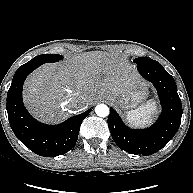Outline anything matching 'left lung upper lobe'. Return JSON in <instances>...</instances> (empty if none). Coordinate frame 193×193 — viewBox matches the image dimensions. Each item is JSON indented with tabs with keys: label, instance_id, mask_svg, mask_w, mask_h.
I'll use <instances>...</instances> for the list:
<instances>
[{
	"label": "left lung upper lobe",
	"instance_id": "left-lung-upper-lobe-1",
	"mask_svg": "<svg viewBox=\"0 0 193 193\" xmlns=\"http://www.w3.org/2000/svg\"><path fill=\"white\" fill-rule=\"evenodd\" d=\"M152 61V59L150 58H147V57H139L137 59L134 60V62L137 64V65H140V64H144V63H148Z\"/></svg>",
	"mask_w": 193,
	"mask_h": 193
}]
</instances>
